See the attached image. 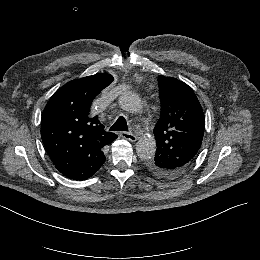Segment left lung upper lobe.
Returning <instances> with one entry per match:
<instances>
[{
	"label": "left lung upper lobe",
	"instance_id": "left-lung-upper-lobe-1",
	"mask_svg": "<svg viewBox=\"0 0 260 260\" xmlns=\"http://www.w3.org/2000/svg\"><path fill=\"white\" fill-rule=\"evenodd\" d=\"M159 86L162 111L154 128L157 149L148 168L159 176L176 177L196 159L204 134V114L187 84L160 75Z\"/></svg>",
	"mask_w": 260,
	"mask_h": 260
}]
</instances>
